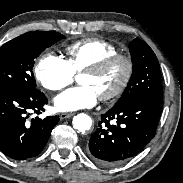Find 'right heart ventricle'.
I'll list each match as a JSON object with an SVG mask.
<instances>
[{
	"label": "right heart ventricle",
	"instance_id": "1",
	"mask_svg": "<svg viewBox=\"0 0 183 183\" xmlns=\"http://www.w3.org/2000/svg\"><path fill=\"white\" fill-rule=\"evenodd\" d=\"M118 53L117 47L103 39L87 38L66 47V62L77 74L100 60Z\"/></svg>",
	"mask_w": 183,
	"mask_h": 183
}]
</instances>
